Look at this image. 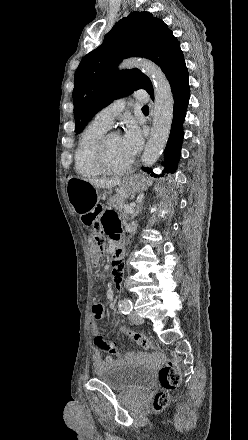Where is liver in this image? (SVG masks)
Instances as JSON below:
<instances>
[{
	"label": "liver",
	"mask_w": 248,
	"mask_h": 440,
	"mask_svg": "<svg viewBox=\"0 0 248 440\" xmlns=\"http://www.w3.org/2000/svg\"><path fill=\"white\" fill-rule=\"evenodd\" d=\"M96 188L110 189L121 183L120 179H89L87 180Z\"/></svg>",
	"instance_id": "liver-1"
}]
</instances>
